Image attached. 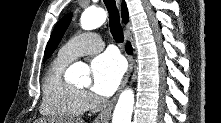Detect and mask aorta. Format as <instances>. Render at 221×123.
I'll return each instance as SVG.
<instances>
[{"label": "aorta", "instance_id": "obj_1", "mask_svg": "<svg viewBox=\"0 0 221 123\" xmlns=\"http://www.w3.org/2000/svg\"><path fill=\"white\" fill-rule=\"evenodd\" d=\"M106 18L107 14L104 9L87 8L81 15V27L84 30L96 29L106 21ZM68 71L74 82L83 84H89L91 82L88 69L79 63L73 64ZM133 106L134 93L132 89L128 88L119 96L113 112L112 123H131Z\"/></svg>", "mask_w": 221, "mask_h": 123}]
</instances>
